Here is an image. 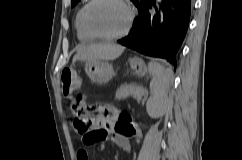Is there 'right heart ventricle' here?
<instances>
[{
  "label": "right heart ventricle",
  "instance_id": "e07e8e85",
  "mask_svg": "<svg viewBox=\"0 0 242 160\" xmlns=\"http://www.w3.org/2000/svg\"><path fill=\"white\" fill-rule=\"evenodd\" d=\"M85 7V4L82 5L79 10L76 13L75 16V29H76V34L78 39L81 42H88V41H92L93 39H95L94 37H92L84 28L83 23H82V13H83V9Z\"/></svg>",
  "mask_w": 242,
  "mask_h": 160
}]
</instances>
